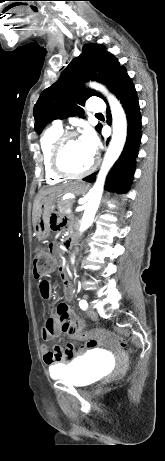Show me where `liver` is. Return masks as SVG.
Masks as SVG:
<instances>
[{
  "label": "liver",
  "instance_id": "6515ba94",
  "mask_svg": "<svg viewBox=\"0 0 165 461\" xmlns=\"http://www.w3.org/2000/svg\"><path fill=\"white\" fill-rule=\"evenodd\" d=\"M66 188H67L66 186L51 187V188H47L45 190H41L37 194V196H36V198L34 200L33 211H32V222H33L34 227L36 226L37 221H38L39 212H40V205H41L42 199L47 195L60 194Z\"/></svg>",
  "mask_w": 165,
  "mask_h": 461
}]
</instances>
